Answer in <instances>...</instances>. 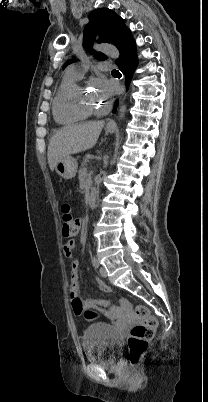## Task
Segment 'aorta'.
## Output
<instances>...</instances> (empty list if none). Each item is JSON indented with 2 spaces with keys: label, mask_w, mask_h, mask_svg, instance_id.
I'll return each mask as SVG.
<instances>
[{
  "label": "aorta",
  "mask_w": 208,
  "mask_h": 402,
  "mask_svg": "<svg viewBox=\"0 0 208 402\" xmlns=\"http://www.w3.org/2000/svg\"><path fill=\"white\" fill-rule=\"evenodd\" d=\"M104 54H107V56H109V58H113V60H117V58H119L120 56V52L119 50H117V48H115V46H107V48H104L103 50ZM125 112H126V104L125 102H122L121 106H120V118L121 120H123L124 116H125ZM93 255H96L95 249H92Z\"/></svg>",
  "instance_id": "aorta-1"
}]
</instances>
